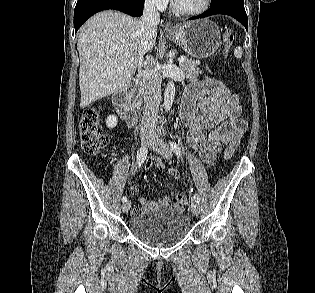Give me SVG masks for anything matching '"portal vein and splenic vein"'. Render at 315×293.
<instances>
[{
    "instance_id": "1",
    "label": "portal vein and splenic vein",
    "mask_w": 315,
    "mask_h": 293,
    "mask_svg": "<svg viewBox=\"0 0 315 293\" xmlns=\"http://www.w3.org/2000/svg\"><path fill=\"white\" fill-rule=\"evenodd\" d=\"M178 61H179V63H184L186 61V59L184 57H180L178 59ZM125 65H127V64L125 63Z\"/></svg>"
}]
</instances>
